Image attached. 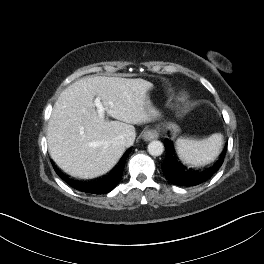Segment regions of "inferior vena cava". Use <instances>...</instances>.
Here are the masks:
<instances>
[{"label":"inferior vena cava","instance_id":"602c4592","mask_svg":"<svg viewBox=\"0 0 264 264\" xmlns=\"http://www.w3.org/2000/svg\"><path fill=\"white\" fill-rule=\"evenodd\" d=\"M115 141L122 146H126L128 144V140L122 135L116 137Z\"/></svg>","mask_w":264,"mask_h":264}]
</instances>
